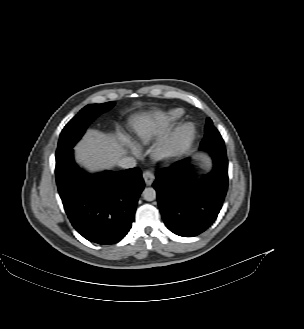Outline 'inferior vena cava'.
<instances>
[{
  "mask_svg": "<svg viewBox=\"0 0 304 329\" xmlns=\"http://www.w3.org/2000/svg\"><path fill=\"white\" fill-rule=\"evenodd\" d=\"M117 164L123 169L134 168L136 166V160L132 157H124L119 159Z\"/></svg>",
  "mask_w": 304,
  "mask_h": 329,
  "instance_id": "1",
  "label": "inferior vena cava"
}]
</instances>
